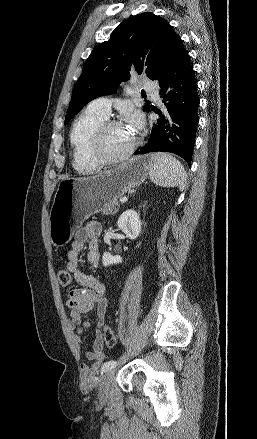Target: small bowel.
<instances>
[{
  "label": "small bowel",
  "mask_w": 257,
  "mask_h": 439,
  "mask_svg": "<svg viewBox=\"0 0 257 439\" xmlns=\"http://www.w3.org/2000/svg\"><path fill=\"white\" fill-rule=\"evenodd\" d=\"M100 233L101 226L98 222H89L80 228L75 233L71 248L67 253L68 260L65 266V270L73 275L74 280L79 285V288L69 292L66 303L71 316L70 328L79 348L82 346V332L91 326V323L84 319V315L95 311L98 317V327L93 347L86 352V358L91 364L82 366V375L85 381L95 374L98 366L105 359L104 339L100 333V328L104 325L108 300L105 285L95 276L81 272L78 269V259L80 252L87 244V259L92 266H98L100 261L98 238Z\"/></svg>",
  "instance_id": "1"
}]
</instances>
